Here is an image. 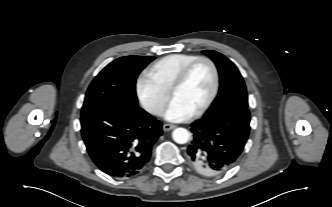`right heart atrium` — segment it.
<instances>
[{
  "instance_id": "1",
  "label": "right heart atrium",
  "mask_w": 332,
  "mask_h": 207,
  "mask_svg": "<svg viewBox=\"0 0 332 207\" xmlns=\"http://www.w3.org/2000/svg\"><path fill=\"white\" fill-rule=\"evenodd\" d=\"M136 91L143 108L151 115H160L169 99V92L161 88L148 74H142Z\"/></svg>"
}]
</instances>
